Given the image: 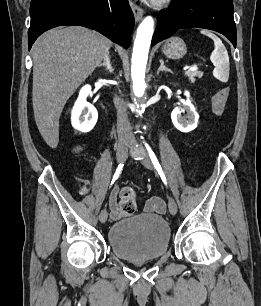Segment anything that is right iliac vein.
<instances>
[{"instance_id":"63e3f726","label":"right iliac vein","mask_w":261,"mask_h":306,"mask_svg":"<svg viewBox=\"0 0 261 306\" xmlns=\"http://www.w3.org/2000/svg\"><path fill=\"white\" fill-rule=\"evenodd\" d=\"M126 145H127V141L122 140L119 142L118 147H117V152H116V159L117 162L120 164H123L126 160L127 157V151H126ZM107 210L103 209L100 214H99V220L101 223H105L107 220Z\"/></svg>"}]
</instances>
